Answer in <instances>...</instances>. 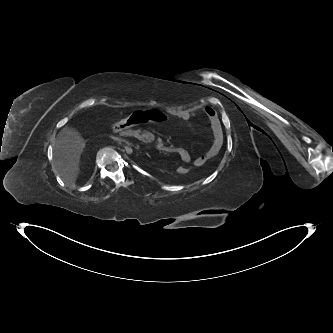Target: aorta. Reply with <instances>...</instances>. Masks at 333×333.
I'll list each match as a JSON object with an SVG mask.
<instances>
[{"label": "aorta", "mask_w": 333, "mask_h": 333, "mask_svg": "<svg viewBox=\"0 0 333 333\" xmlns=\"http://www.w3.org/2000/svg\"><path fill=\"white\" fill-rule=\"evenodd\" d=\"M126 149H127V150H129L130 148H129V147H127Z\"/></svg>", "instance_id": "1"}]
</instances>
